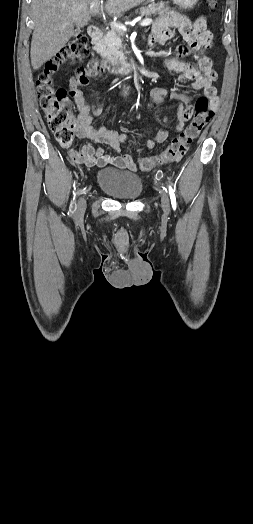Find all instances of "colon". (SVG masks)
Listing matches in <instances>:
<instances>
[{"label": "colon", "instance_id": "colon-1", "mask_svg": "<svg viewBox=\"0 0 253 524\" xmlns=\"http://www.w3.org/2000/svg\"><path fill=\"white\" fill-rule=\"evenodd\" d=\"M211 8L215 9L218 0H208ZM91 57L89 39L86 35H78L55 58L47 62L44 70L38 75L36 87L38 97L45 112L47 123L53 132L56 141L63 148L73 145L75 132L78 128L73 112L71 98L81 95L80 87L88 88L96 85L104 77L102 65L97 60H88ZM88 60L86 67L75 70L74 75L68 78L69 88L57 87L53 82V75L68 62ZM194 116L189 125L175 137L170 145L157 157L142 158V170H151L157 166L168 165L178 161L188 150L193 140L200 134L213 116L208 99L198 98L195 104Z\"/></svg>", "mask_w": 253, "mask_h": 524}]
</instances>
